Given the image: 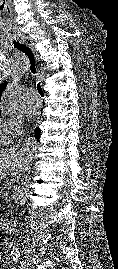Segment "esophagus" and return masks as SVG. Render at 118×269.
<instances>
[{"label": "esophagus", "mask_w": 118, "mask_h": 269, "mask_svg": "<svg viewBox=\"0 0 118 269\" xmlns=\"http://www.w3.org/2000/svg\"><path fill=\"white\" fill-rule=\"evenodd\" d=\"M20 41L26 44L32 50V52L35 54L36 59L38 60V54L33 40L29 37H23L20 39Z\"/></svg>", "instance_id": "1"}]
</instances>
